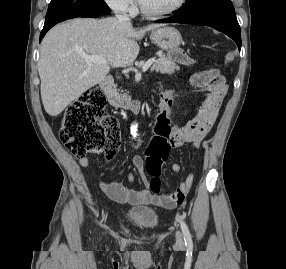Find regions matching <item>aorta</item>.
I'll return each instance as SVG.
<instances>
[{
    "instance_id": "762f6f07",
    "label": "aorta",
    "mask_w": 286,
    "mask_h": 269,
    "mask_svg": "<svg viewBox=\"0 0 286 269\" xmlns=\"http://www.w3.org/2000/svg\"><path fill=\"white\" fill-rule=\"evenodd\" d=\"M137 127H138V125H137L136 123H134V124L131 126V133H132V135H133L134 137L136 136Z\"/></svg>"
}]
</instances>
